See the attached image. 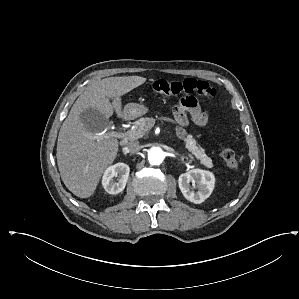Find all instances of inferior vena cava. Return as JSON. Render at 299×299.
<instances>
[{"instance_id": "1", "label": "inferior vena cava", "mask_w": 299, "mask_h": 299, "mask_svg": "<svg viewBox=\"0 0 299 299\" xmlns=\"http://www.w3.org/2000/svg\"><path fill=\"white\" fill-rule=\"evenodd\" d=\"M141 149L140 145L136 142H129L126 146V150L132 154L139 152Z\"/></svg>"}]
</instances>
